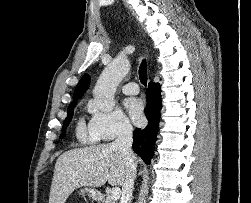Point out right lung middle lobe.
I'll return each instance as SVG.
<instances>
[{
    "label": "right lung middle lobe",
    "instance_id": "obj_1",
    "mask_svg": "<svg viewBox=\"0 0 251 203\" xmlns=\"http://www.w3.org/2000/svg\"><path fill=\"white\" fill-rule=\"evenodd\" d=\"M75 106H76V102L70 104L69 107H68L67 117L65 119V122H64V125H63V129H62L63 131L66 130L69 122L71 121V119L73 117V111H74ZM60 137L63 138L64 137V133H62Z\"/></svg>",
    "mask_w": 251,
    "mask_h": 203
}]
</instances>
